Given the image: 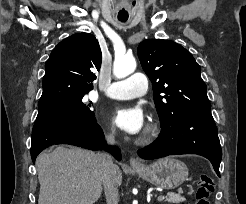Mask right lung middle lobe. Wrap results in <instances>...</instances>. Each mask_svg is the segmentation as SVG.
<instances>
[{
	"label": "right lung middle lobe",
	"instance_id": "dd1d6c3e",
	"mask_svg": "<svg viewBox=\"0 0 246 204\" xmlns=\"http://www.w3.org/2000/svg\"><path fill=\"white\" fill-rule=\"evenodd\" d=\"M86 93H67L48 100L39 101V113H53L65 118L90 120L94 112L90 110L91 104H85L83 97Z\"/></svg>",
	"mask_w": 246,
	"mask_h": 204
}]
</instances>
